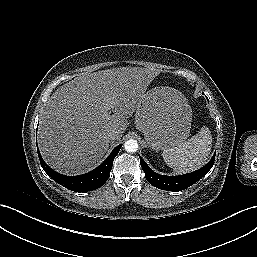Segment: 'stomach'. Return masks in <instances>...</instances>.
I'll list each match as a JSON object with an SVG mask.
<instances>
[{"label":"stomach","instance_id":"1","mask_svg":"<svg viewBox=\"0 0 257 257\" xmlns=\"http://www.w3.org/2000/svg\"><path fill=\"white\" fill-rule=\"evenodd\" d=\"M191 121L192 109L186 97L171 87L149 90L136 108V128L143 132L147 144L155 150L185 142Z\"/></svg>","mask_w":257,"mask_h":257}]
</instances>
